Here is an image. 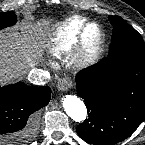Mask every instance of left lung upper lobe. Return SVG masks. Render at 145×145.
Segmentation results:
<instances>
[{"instance_id": "left-lung-upper-lobe-1", "label": "left lung upper lobe", "mask_w": 145, "mask_h": 145, "mask_svg": "<svg viewBox=\"0 0 145 145\" xmlns=\"http://www.w3.org/2000/svg\"><path fill=\"white\" fill-rule=\"evenodd\" d=\"M109 18L114 27L109 55L125 53L145 58V43L141 35L121 17L109 16Z\"/></svg>"}]
</instances>
